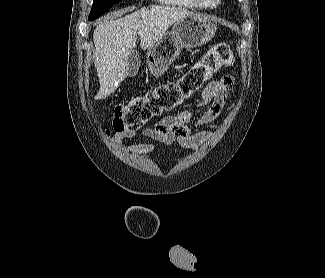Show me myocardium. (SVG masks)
<instances>
[{"label":"myocardium","mask_w":325,"mask_h":278,"mask_svg":"<svg viewBox=\"0 0 325 278\" xmlns=\"http://www.w3.org/2000/svg\"><path fill=\"white\" fill-rule=\"evenodd\" d=\"M201 2V4L205 7V8H214L217 7L220 3L221 0H215L214 2H209L207 0H199Z\"/></svg>","instance_id":"f54148a6"}]
</instances>
